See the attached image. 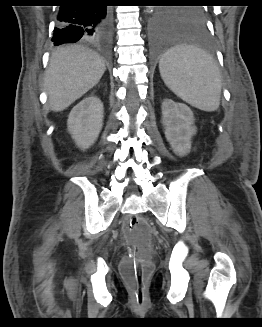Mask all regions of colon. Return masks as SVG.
<instances>
[{"mask_svg":"<svg viewBox=\"0 0 262 327\" xmlns=\"http://www.w3.org/2000/svg\"><path fill=\"white\" fill-rule=\"evenodd\" d=\"M125 232L134 244V252L124 261L122 271L128 279L136 301L144 302L150 266L142 255V249L148 244L150 230L145 220L132 217L125 225Z\"/></svg>","mask_w":262,"mask_h":327,"instance_id":"1","label":"colon"}]
</instances>
